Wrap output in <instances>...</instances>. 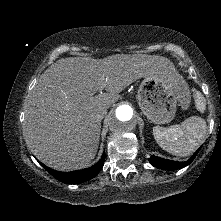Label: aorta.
Segmentation results:
<instances>
[{
    "label": "aorta",
    "mask_w": 221,
    "mask_h": 221,
    "mask_svg": "<svg viewBox=\"0 0 221 221\" xmlns=\"http://www.w3.org/2000/svg\"><path fill=\"white\" fill-rule=\"evenodd\" d=\"M136 127V119L133 108L128 104H122L116 108L109 120L110 130L118 135L132 132Z\"/></svg>",
    "instance_id": "1"
}]
</instances>
